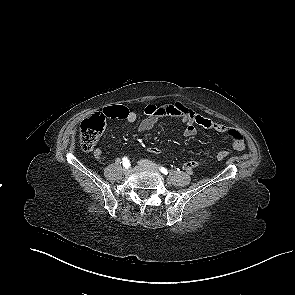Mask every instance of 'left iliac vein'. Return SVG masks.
<instances>
[{
	"label": "left iliac vein",
	"mask_w": 295,
	"mask_h": 295,
	"mask_svg": "<svg viewBox=\"0 0 295 295\" xmlns=\"http://www.w3.org/2000/svg\"><path fill=\"white\" fill-rule=\"evenodd\" d=\"M138 164L140 166L149 167V168H151L153 170H158V166L155 163H153V162H151L149 160H146V159L139 160Z\"/></svg>",
	"instance_id": "left-iliac-vein-1"
}]
</instances>
